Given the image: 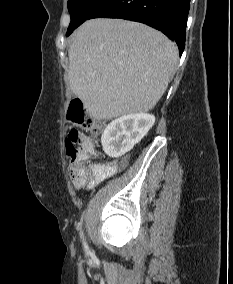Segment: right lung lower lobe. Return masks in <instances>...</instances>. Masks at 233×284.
Returning <instances> with one entry per match:
<instances>
[{"label":"right lung lower lobe","instance_id":"1","mask_svg":"<svg viewBox=\"0 0 233 284\" xmlns=\"http://www.w3.org/2000/svg\"><path fill=\"white\" fill-rule=\"evenodd\" d=\"M190 0H108L89 17L121 18L147 24L175 41L182 54Z\"/></svg>","mask_w":233,"mask_h":284}]
</instances>
